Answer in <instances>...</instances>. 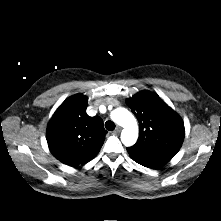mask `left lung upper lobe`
Listing matches in <instances>:
<instances>
[{
	"label": "left lung upper lobe",
	"instance_id": "5c2ea615",
	"mask_svg": "<svg viewBox=\"0 0 221 221\" xmlns=\"http://www.w3.org/2000/svg\"><path fill=\"white\" fill-rule=\"evenodd\" d=\"M139 122V139L127 151L133 160H171L185 135L180 116L156 94L141 91L127 100Z\"/></svg>",
	"mask_w": 221,
	"mask_h": 221
}]
</instances>
